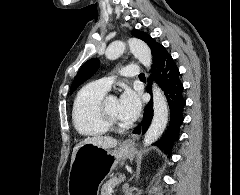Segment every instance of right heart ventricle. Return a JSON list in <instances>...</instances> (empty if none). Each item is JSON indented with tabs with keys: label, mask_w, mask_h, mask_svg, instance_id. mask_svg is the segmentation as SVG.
I'll return each instance as SVG.
<instances>
[{
	"label": "right heart ventricle",
	"mask_w": 240,
	"mask_h": 195,
	"mask_svg": "<svg viewBox=\"0 0 240 195\" xmlns=\"http://www.w3.org/2000/svg\"><path fill=\"white\" fill-rule=\"evenodd\" d=\"M108 89L103 83L92 82L84 86L75 98L72 118L75 128L84 136L99 137L108 132L100 107Z\"/></svg>",
	"instance_id": "1"
}]
</instances>
